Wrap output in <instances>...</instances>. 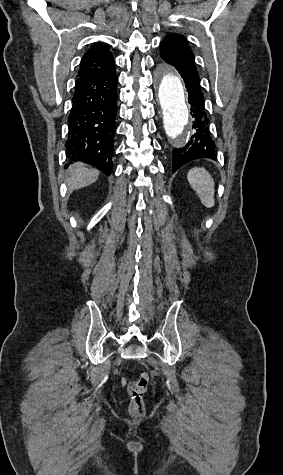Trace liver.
<instances>
[{
    "label": "liver",
    "mask_w": 283,
    "mask_h": 475,
    "mask_svg": "<svg viewBox=\"0 0 283 475\" xmlns=\"http://www.w3.org/2000/svg\"><path fill=\"white\" fill-rule=\"evenodd\" d=\"M69 172H71V178H68L67 184L69 188H73V190H80V188L94 184L99 176L98 170H88L86 164H82V162L72 164L69 168Z\"/></svg>",
    "instance_id": "6515ba94"
}]
</instances>
